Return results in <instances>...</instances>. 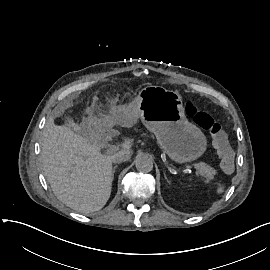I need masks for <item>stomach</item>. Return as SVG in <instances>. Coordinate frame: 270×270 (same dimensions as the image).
Returning a JSON list of instances; mask_svg holds the SVG:
<instances>
[{"label": "stomach", "instance_id": "0dacf381", "mask_svg": "<svg viewBox=\"0 0 270 270\" xmlns=\"http://www.w3.org/2000/svg\"><path fill=\"white\" fill-rule=\"evenodd\" d=\"M119 113L123 118L138 116L155 135L160 149L177 164L193 162L207 150L205 134L188 121L182 100L174 91L146 86Z\"/></svg>", "mask_w": 270, "mask_h": 270}]
</instances>
